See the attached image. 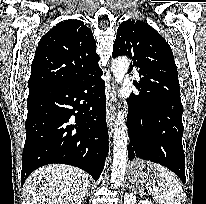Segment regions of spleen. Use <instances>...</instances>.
Instances as JSON below:
<instances>
[{"label":"spleen","instance_id":"spleen-1","mask_svg":"<svg viewBox=\"0 0 206 204\" xmlns=\"http://www.w3.org/2000/svg\"><path fill=\"white\" fill-rule=\"evenodd\" d=\"M157 184L150 189V194L159 204H181L183 199L180 180L167 168L157 165Z\"/></svg>","mask_w":206,"mask_h":204}]
</instances>
